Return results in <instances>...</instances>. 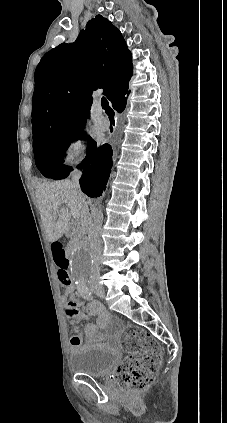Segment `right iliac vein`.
Instances as JSON below:
<instances>
[{
	"instance_id": "right-iliac-vein-1",
	"label": "right iliac vein",
	"mask_w": 227,
	"mask_h": 423,
	"mask_svg": "<svg viewBox=\"0 0 227 423\" xmlns=\"http://www.w3.org/2000/svg\"><path fill=\"white\" fill-rule=\"evenodd\" d=\"M95 291H96V294H97L98 296H100V297H102V298H104V297H105V290H104L103 288H101V289H96Z\"/></svg>"
}]
</instances>
